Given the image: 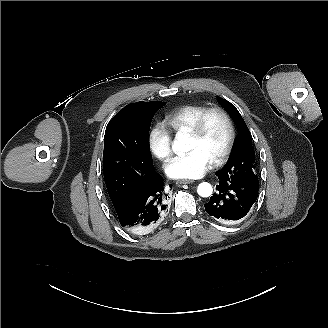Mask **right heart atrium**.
<instances>
[{"mask_svg": "<svg viewBox=\"0 0 328 328\" xmlns=\"http://www.w3.org/2000/svg\"><path fill=\"white\" fill-rule=\"evenodd\" d=\"M148 147L150 152L160 160H165L172 155V137L162 121H155L150 126Z\"/></svg>", "mask_w": 328, "mask_h": 328, "instance_id": "obj_1", "label": "right heart atrium"}]
</instances>
